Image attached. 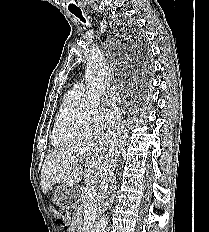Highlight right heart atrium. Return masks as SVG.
Returning <instances> with one entry per match:
<instances>
[{"mask_svg": "<svg viewBox=\"0 0 209 232\" xmlns=\"http://www.w3.org/2000/svg\"><path fill=\"white\" fill-rule=\"evenodd\" d=\"M119 119V113L115 108H106L99 112L94 118L95 126L99 130H103L114 123Z\"/></svg>", "mask_w": 209, "mask_h": 232, "instance_id": "right-heart-atrium-1", "label": "right heart atrium"}]
</instances>
